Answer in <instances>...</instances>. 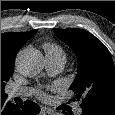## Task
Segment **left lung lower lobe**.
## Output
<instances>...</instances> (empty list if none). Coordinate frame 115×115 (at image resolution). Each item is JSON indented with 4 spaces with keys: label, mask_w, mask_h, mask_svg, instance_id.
<instances>
[{
    "label": "left lung lower lobe",
    "mask_w": 115,
    "mask_h": 115,
    "mask_svg": "<svg viewBox=\"0 0 115 115\" xmlns=\"http://www.w3.org/2000/svg\"><path fill=\"white\" fill-rule=\"evenodd\" d=\"M65 113V112H64ZM65 115H68L67 113H65ZM70 115H72V113H70ZM81 115H96L94 113L88 112V111H83Z\"/></svg>",
    "instance_id": "obj_1"
}]
</instances>
